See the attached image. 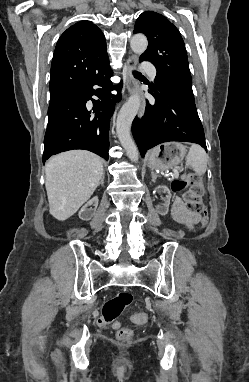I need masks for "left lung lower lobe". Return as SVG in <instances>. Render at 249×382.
Listing matches in <instances>:
<instances>
[{
	"instance_id": "left-lung-lower-lobe-1",
	"label": "left lung lower lobe",
	"mask_w": 249,
	"mask_h": 382,
	"mask_svg": "<svg viewBox=\"0 0 249 382\" xmlns=\"http://www.w3.org/2000/svg\"><path fill=\"white\" fill-rule=\"evenodd\" d=\"M149 92L155 103L146 101L144 116L136 117L132 123L141 156L144 157L148 149L169 141L197 143L207 150L194 100L163 87L150 86Z\"/></svg>"
}]
</instances>
